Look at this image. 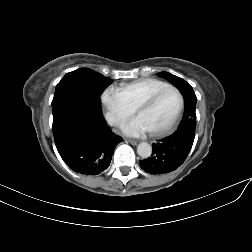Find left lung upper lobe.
<instances>
[{
    "instance_id": "1",
    "label": "left lung upper lobe",
    "mask_w": 252,
    "mask_h": 252,
    "mask_svg": "<svg viewBox=\"0 0 252 252\" xmlns=\"http://www.w3.org/2000/svg\"><path fill=\"white\" fill-rule=\"evenodd\" d=\"M159 75L163 78H166L170 83H172L173 85H175L182 94L186 93V92H191L193 93V89L192 87L189 85V83H187L185 80L172 75L170 73L167 72H161L159 73Z\"/></svg>"
}]
</instances>
